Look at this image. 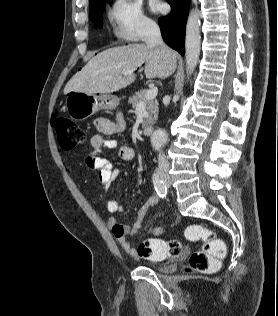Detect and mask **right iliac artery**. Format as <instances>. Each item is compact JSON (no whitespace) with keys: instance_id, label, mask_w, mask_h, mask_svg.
Instances as JSON below:
<instances>
[{"instance_id":"right-iliac-artery-1","label":"right iliac artery","mask_w":278,"mask_h":316,"mask_svg":"<svg viewBox=\"0 0 278 316\" xmlns=\"http://www.w3.org/2000/svg\"><path fill=\"white\" fill-rule=\"evenodd\" d=\"M152 181H153L154 188L157 194L159 195V197L164 198L167 194V188L160 176L159 171H156L153 174Z\"/></svg>"}]
</instances>
